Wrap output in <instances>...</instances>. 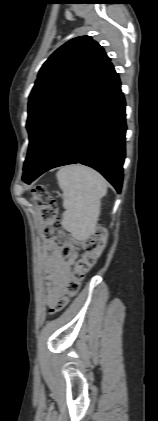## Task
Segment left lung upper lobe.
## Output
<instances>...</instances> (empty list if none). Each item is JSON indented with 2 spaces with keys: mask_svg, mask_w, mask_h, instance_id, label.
Segmentation results:
<instances>
[{
  "mask_svg": "<svg viewBox=\"0 0 158 421\" xmlns=\"http://www.w3.org/2000/svg\"><path fill=\"white\" fill-rule=\"evenodd\" d=\"M108 62L110 58L97 42L89 36H81L66 42L43 64L29 96V148L24 168L34 158L56 116Z\"/></svg>",
  "mask_w": 158,
  "mask_h": 421,
  "instance_id": "left-lung-upper-lobe-1",
  "label": "left lung upper lobe"
}]
</instances>
